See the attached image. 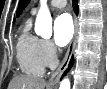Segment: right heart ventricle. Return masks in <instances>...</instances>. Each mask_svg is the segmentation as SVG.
<instances>
[{
  "instance_id": "e07e8e85",
  "label": "right heart ventricle",
  "mask_w": 107,
  "mask_h": 89,
  "mask_svg": "<svg viewBox=\"0 0 107 89\" xmlns=\"http://www.w3.org/2000/svg\"><path fill=\"white\" fill-rule=\"evenodd\" d=\"M31 20L28 19L19 34L16 57L21 71L27 75L41 76L45 64L41 56V39L30 33Z\"/></svg>"
}]
</instances>
